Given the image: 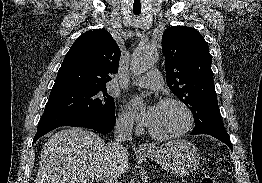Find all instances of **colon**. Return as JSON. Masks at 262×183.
I'll return each mask as SVG.
<instances>
[{"label":"colon","mask_w":262,"mask_h":183,"mask_svg":"<svg viewBox=\"0 0 262 183\" xmlns=\"http://www.w3.org/2000/svg\"><path fill=\"white\" fill-rule=\"evenodd\" d=\"M200 183H216L214 178L209 175H204L200 179Z\"/></svg>","instance_id":"colon-1"}]
</instances>
